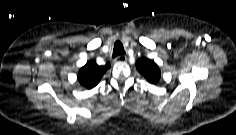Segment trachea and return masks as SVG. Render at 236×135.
Returning <instances> with one entry per match:
<instances>
[{"instance_id":"obj_1","label":"trachea","mask_w":236,"mask_h":135,"mask_svg":"<svg viewBox=\"0 0 236 135\" xmlns=\"http://www.w3.org/2000/svg\"><path fill=\"white\" fill-rule=\"evenodd\" d=\"M125 51L123 48V45L120 41H116L114 44V48H113V58L120 56V55H124Z\"/></svg>"}]
</instances>
